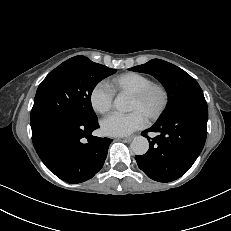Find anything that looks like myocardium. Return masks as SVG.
Segmentation results:
<instances>
[{"mask_svg": "<svg viewBox=\"0 0 231 231\" xmlns=\"http://www.w3.org/2000/svg\"><path fill=\"white\" fill-rule=\"evenodd\" d=\"M153 92H158L160 95V103L158 107L150 112L146 117L150 121L158 120L167 110L170 102V93L166 85L161 82H150L142 89L131 94V97L137 101H145Z\"/></svg>", "mask_w": 231, "mask_h": 231, "instance_id": "f54148a6", "label": "myocardium"}]
</instances>
